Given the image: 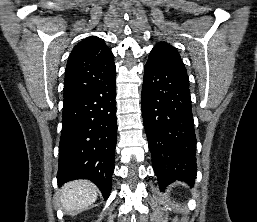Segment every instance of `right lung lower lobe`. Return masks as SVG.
<instances>
[{
  "mask_svg": "<svg viewBox=\"0 0 257 222\" xmlns=\"http://www.w3.org/2000/svg\"><path fill=\"white\" fill-rule=\"evenodd\" d=\"M116 70L96 87L64 101L59 145V185L75 179L111 192L117 140Z\"/></svg>",
  "mask_w": 257,
  "mask_h": 222,
  "instance_id": "obj_1",
  "label": "right lung lower lobe"
}]
</instances>
